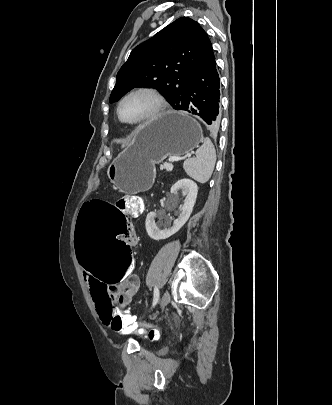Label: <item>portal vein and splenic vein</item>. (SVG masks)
<instances>
[{
  "instance_id": "obj_1",
  "label": "portal vein and splenic vein",
  "mask_w": 332,
  "mask_h": 405,
  "mask_svg": "<svg viewBox=\"0 0 332 405\" xmlns=\"http://www.w3.org/2000/svg\"><path fill=\"white\" fill-rule=\"evenodd\" d=\"M183 159H184L183 157H173V158H170L169 161L174 162V161H181ZM172 167H173V165L171 164L170 168H172Z\"/></svg>"
}]
</instances>
